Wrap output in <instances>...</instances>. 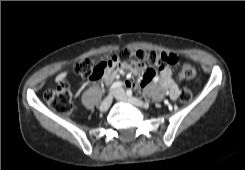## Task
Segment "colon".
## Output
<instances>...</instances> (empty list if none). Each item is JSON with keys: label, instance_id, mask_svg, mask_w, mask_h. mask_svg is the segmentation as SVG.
Listing matches in <instances>:
<instances>
[{"label": "colon", "instance_id": "obj_1", "mask_svg": "<svg viewBox=\"0 0 245 170\" xmlns=\"http://www.w3.org/2000/svg\"><path fill=\"white\" fill-rule=\"evenodd\" d=\"M177 62L178 58L174 53L124 49L100 61H96L93 58L83 59L76 64V71L84 79L83 85H85V81L100 78L111 67L138 69L151 66L158 69L164 65H175ZM195 74L196 69L191 63L184 62L181 64L179 76L182 79L191 80L195 77ZM74 97L75 93L67 81L59 82L44 94L45 102L60 115H68L72 112ZM191 99V92L186 88L181 89L179 93L180 102L187 104Z\"/></svg>", "mask_w": 245, "mask_h": 170}]
</instances>
